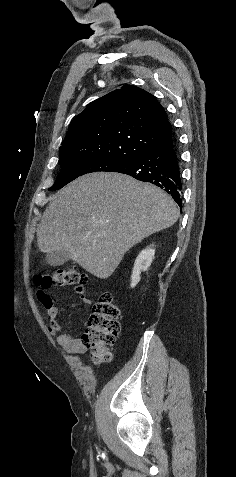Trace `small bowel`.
<instances>
[{"mask_svg":"<svg viewBox=\"0 0 236 477\" xmlns=\"http://www.w3.org/2000/svg\"><path fill=\"white\" fill-rule=\"evenodd\" d=\"M78 295L85 306H90V300L82 292L77 290L74 292ZM38 298L50 316L49 331L56 335L62 330L61 314L57 303L46 293L38 292ZM57 342L67 352L73 355H79L86 350L83 342V336H74L69 333H62L57 335Z\"/></svg>","mask_w":236,"mask_h":477,"instance_id":"small-bowel-1","label":"small bowel"}]
</instances>
